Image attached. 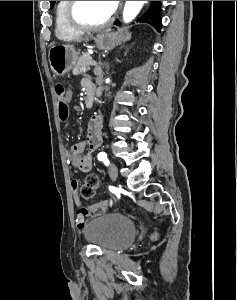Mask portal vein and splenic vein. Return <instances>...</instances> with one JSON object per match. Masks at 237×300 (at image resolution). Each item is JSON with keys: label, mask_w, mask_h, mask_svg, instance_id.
<instances>
[{"label": "portal vein and splenic vein", "mask_w": 237, "mask_h": 300, "mask_svg": "<svg viewBox=\"0 0 237 300\" xmlns=\"http://www.w3.org/2000/svg\"><path fill=\"white\" fill-rule=\"evenodd\" d=\"M88 65H92L93 67H96V63L94 60L90 61L87 63Z\"/></svg>", "instance_id": "1"}]
</instances>
